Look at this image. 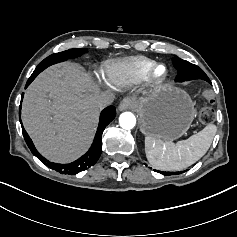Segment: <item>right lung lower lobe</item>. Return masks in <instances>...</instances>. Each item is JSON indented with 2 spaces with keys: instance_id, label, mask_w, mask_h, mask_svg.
I'll return each mask as SVG.
<instances>
[{
  "instance_id": "right-lung-lower-lobe-1",
  "label": "right lung lower lobe",
  "mask_w": 237,
  "mask_h": 237,
  "mask_svg": "<svg viewBox=\"0 0 237 237\" xmlns=\"http://www.w3.org/2000/svg\"><path fill=\"white\" fill-rule=\"evenodd\" d=\"M35 77L36 76H34L33 74L30 76L25 88L35 79ZM23 95L24 94H22L21 99H23ZM20 108H21V105H20ZM115 116H116V110L114 106H109L102 111L100 115L99 126L97 129L93 144L91 145L89 151L78 160L69 164L52 163L48 161L46 158H44L36 150L32 140L30 139L27 132L24 130L21 119H20V122L22 125L23 136L29 149L43 164H45L51 169L56 170L57 172L61 174L75 175L81 171H84L90 168L92 165H94L97 162L102 152V133L105 127L115 118Z\"/></svg>"
}]
</instances>
